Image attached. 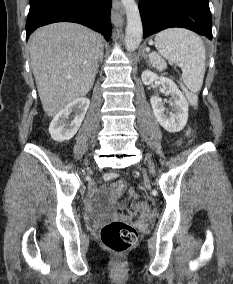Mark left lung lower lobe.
<instances>
[{"label": "left lung lower lobe", "mask_w": 233, "mask_h": 284, "mask_svg": "<svg viewBox=\"0 0 233 284\" xmlns=\"http://www.w3.org/2000/svg\"><path fill=\"white\" fill-rule=\"evenodd\" d=\"M143 38L166 28L182 27L212 39L208 0H140Z\"/></svg>", "instance_id": "obj_1"}]
</instances>
